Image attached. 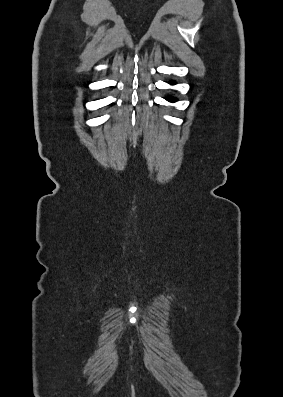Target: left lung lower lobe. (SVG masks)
Listing matches in <instances>:
<instances>
[{
  "label": "left lung lower lobe",
  "mask_w": 283,
  "mask_h": 397,
  "mask_svg": "<svg viewBox=\"0 0 283 397\" xmlns=\"http://www.w3.org/2000/svg\"><path fill=\"white\" fill-rule=\"evenodd\" d=\"M170 84H175V82H170ZM167 100H168V101H170V102H174V101H176V99H175V98H167Z\"/></svg>",
  "instance_id": "1"
}]
</instances>
